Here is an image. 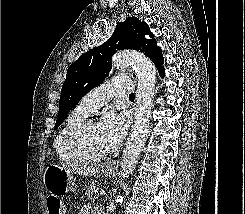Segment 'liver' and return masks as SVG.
Here are the masks:
<instances>
[{"label": "liver", "instance_id": "6515ba94", "mask_svg": "<svg viewBox=\"0 0 245 214\" xmlns=\"http://www.w3.org/2000/svg\"><path fill=\"white\" fill-rule=\"evenodd\" d=\"M69 171L71 172H76L80 175H96L99 173V170L97 168H94V167H91V168H86V167H83V168H67Z\"/></svg>", "mask_w": 245, "mask_h": 214}]
</instances>
